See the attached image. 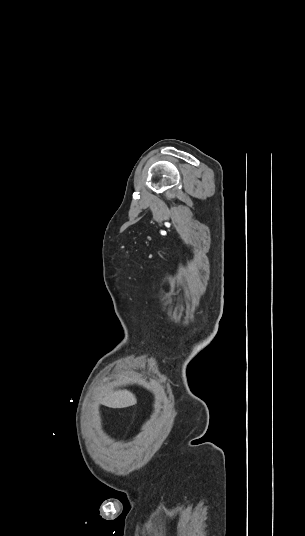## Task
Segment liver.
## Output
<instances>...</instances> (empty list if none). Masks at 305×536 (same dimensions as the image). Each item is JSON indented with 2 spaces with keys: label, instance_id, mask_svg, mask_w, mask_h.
Masks as SVG:
<instances>
[{
  "label": "liver",
  "instance_id": "6515ba94",
  "mask_svg": "<svg viewBox=\"0 0 305 536\" xmlns=\"http://www.w3.org/2000/svg\"><path fill=\"white\" fill-rule=\"evenodd\" d=\"M98 402L108 408H128L137 404L134 394L128 390H117V392H99Z\"/></svg>",
  "mask_w": 305,
  "mask_h": 536
}]
</instances>
